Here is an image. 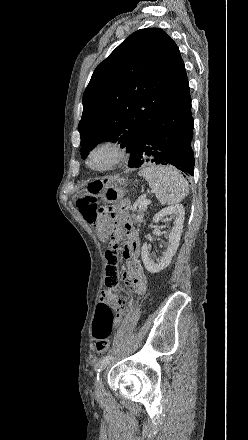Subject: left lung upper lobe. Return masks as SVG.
Returning <instances> with one entry per match:
<instances>
[{"label":"left lung upper lobe","mask_w":248,"mask_h":440,"mask_svg":"<svg viewBox=\"0 0 248 440\" xmlns=\"http://www.w3.org/2000/svg\"><path fill=\"white\" fill-rule=\"evenodd\" d=\"M188 87L175 42L159 28L134 32L97 66L83 94L82 155L104 140L131 152L147 125Z\"/></svg>","instance_id":"1"}]
</instances>
